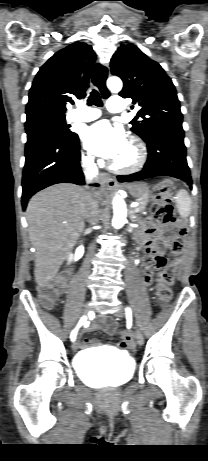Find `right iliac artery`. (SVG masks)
Wrapping results in <instances>:
<instances>
[{
    "instance_id": "82829eb1",
    "label": "right iliac artery",
    "mask_w": 208,
    "mask_h": 461,
    "mask_svg": "<svg viewBox=\"0 0 208 461\" xmlns=\"http://www.w3.org/2000/svg\"><path fill=\"white\" fill-rule=\"evenodd\" d=\"M86 320H87L86 316H83V317L80 319V321H79L77 327L72 331V333H71V335H70V338H71L72 341H74V340L76 339V335H77L78 328H79L81 325H83V324L86 322Z\"/></svg>"
}]
</instances>
